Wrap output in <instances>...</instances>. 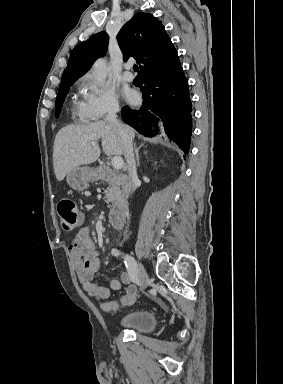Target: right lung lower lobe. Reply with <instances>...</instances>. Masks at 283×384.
<instances>
[{
    "instance_id": "98d812e1",
    "label": "right lung lower lobe",
    "mask_w": 283,
    "mask_h": 384,
    "mask_svg": "<svg viewBox=\"0 0 283 384\" xmlns=\"http://www.w3.org/2000/svg\"><path fill=\"white\" fill-rule=\"evenodd\" d=\"M144 98L140 109L122 108V119L139 133L152 137L159 123L166 136L187 153L192 131V105L180 62L166 71L141 78ZM155 129L153 130V126Z\"/></svg>"
}]
</instances>
